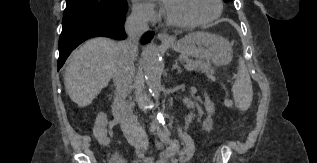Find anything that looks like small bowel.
<instances>
[{
    "mask_svg": "<svg viewBox=\"0 0 317 163\" xmlns=\"http://www.w3.org/2000/svg\"><path fill=\"white\" fill-rule=\"evenodd\" d=\"M182 147L178 150V143L175 140H171L162 152L159 160L154 161L152 158L144 157L142 153H138L137 160H133L131 163H188L195 152V145L192 138L186 134H181ZM178 152V157L171 159ZM110 163H126L124 158L118 154L112 155Z\"/></svg>",
    "mask_w": 317,
    "mask_h": 163,
    "instance_id": "c3829d8e",
    "label": "small bowel"
}]
</instances>
